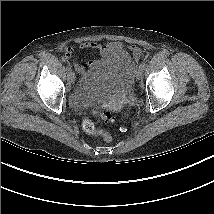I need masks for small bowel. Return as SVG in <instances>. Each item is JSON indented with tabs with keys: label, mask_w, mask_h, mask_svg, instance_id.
<instances>
[{
	"label": "small bowel",
	"mask_w": 214,
	"mask_h": 214,
	"mask_svg": "<svg viewBox=\"0 0 214 214\" xmlns=\"http://www.w3.org/2000/svg\"><path fill=\"white\" fill-rule=\"evenodd\" d=\"M81 49L86 50H95L99 53V60H89L85 63H75V69L79 73H84L87 68L101 66L106 63V61L111 56L120 55L122 57L123 62L127 66L129 70L138 62L141 56V50L135 45H129L128 49L131 52V55L126 50V47L121 42L111 41L106 44H100L94 41L83 42L79 45ZM72 56V53H69V57Z\"/></svg>",
	"instance_id": "c3829d8e"
}]
</instances>
